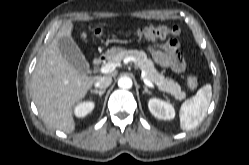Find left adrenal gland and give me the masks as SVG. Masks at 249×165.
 <instances>
[{"instance_id":"1","label":"left adrenal gland","mask_w":249,"mask_h":165,"mask_svg":"<svg viewBox=\"0 0 249 165\" xmlns=\"http://www.w3.org/2000/svg\"><path fill=\"white\" fill-rule=\"evenodd\" d=\"M143 93H148V94H151V92L148 90V88L146 86H144V91Z\"/></svg>"}]
</instances>
